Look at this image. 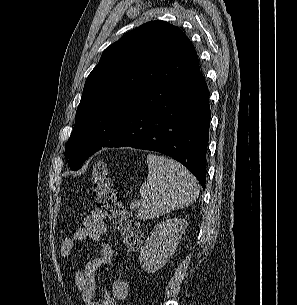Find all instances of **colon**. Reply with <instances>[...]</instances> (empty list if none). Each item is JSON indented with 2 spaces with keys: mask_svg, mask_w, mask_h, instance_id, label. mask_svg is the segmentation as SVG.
<instances>
[{
  "mask_svg": "<svg viewBox=\"0 0 297 305\" xmlns=\"http://www.w3.org/2000/svg\"><path fill=\"white\" fill-rule=\"evenodd\" d=\"M93 185L97 205L111 220L125 248L129 251L137 250L142 244V233L131 212L124 206L118 192L113 188L108 166L103 161L97 162L94 166Z\"/></svg>",
  "mask_w": 297,
  "mask_h": 305,
  "instance_id": "1",
  "label": "colon"
}]
</instances>
